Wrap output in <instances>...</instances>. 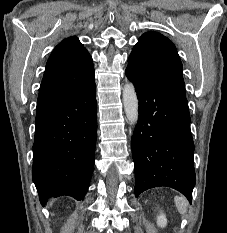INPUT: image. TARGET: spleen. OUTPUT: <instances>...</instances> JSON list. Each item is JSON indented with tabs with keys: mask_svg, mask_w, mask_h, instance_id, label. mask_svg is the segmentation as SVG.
Returning <instances> with one entry per match:
<instances>
[{
	"mask_svg": "<svg viewBox=\"0 0 227 233\" xmlns=\"http://www.w3.org/2000/svg\"><path fill=\"white\" fill-rule=\"evenodd\" d=\"M174 201H175L178 212L181 215H184L187 212V206H188L187 200L182 196H176L174 198Z\"/></svg>",
	"mask_w": 227,
	"mask_h": 233,
	"instance_id": "obj_1",
	"label": "spleen"
}]
</instances>
